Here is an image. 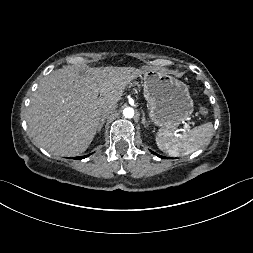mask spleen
<instances>
[{"label":"spleen","mask_w":253,"mask_h":253,"mask_svg":"<svg viewBox=\"0 0 253 253\" xmlns=\"http://www.w3.org/2000/svg\"><path fill=\"white\" fill-rule=\"evenodd\" d=\"M212 131L211 122L180 134H176L173 130L160 129L156 136V144L161 151L171 157L184 156L207 144L211 139Z\"/></svg>","instance_id":"spleen-1"}]
</instances>
